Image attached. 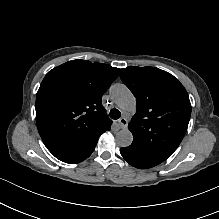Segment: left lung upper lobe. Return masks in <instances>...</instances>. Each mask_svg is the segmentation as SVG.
<instances>
[{"instance_id":"obj_1","label":"left lung upper lobe","mask_w":219,"mask_h":219,"mask_svg":"<svg viewBox=\"0 0 219 219\" xmlns=\"http://www.w3.org/2000/svg\"><path fill=\"white\" fill-rule=\"evenodd\" d=\"M120 78L137 103L129 123L131 145L165 161L188 128L191 104L186 89L173 75L155 67L130 66L121 69Z\"/></svg>"}]
</instances>
